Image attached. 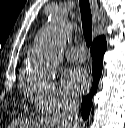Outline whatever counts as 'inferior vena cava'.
Returning a JSON list of instances; mask_svg holds the SVG:
<instances>
[{
	"label": "inferior vena cava",
	"mask_w": 125,
	"mask_h": 128,
	"mask_svg": "<svg viewBox=\"0 0 125 128\" xmlns=\"http://www.w3.org/2000/svg\"><path fill=\"white\" fill-rule=\"evenodd\" d=\"M79 124L78 119V105L74 102H67L65 104V112L62 118L63 127L71 128L74 125V128Z\"/></svg>",
	"instance_id": "1"
}]
</instances>
